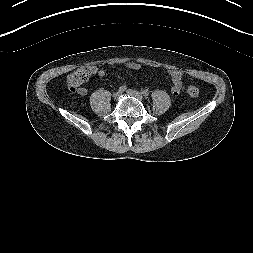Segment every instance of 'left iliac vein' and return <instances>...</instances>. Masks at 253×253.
Here are the masks:
<instances>
[{
    "label": "left iliac vein",
    "mask_w": 253,
    "mask_h": 253,
    "mask_svg": "<svg viewBox=\"0 0 253 253\" xmlns=\"http://www.w3.org/2000/svg\"><path fill=\"white\" fill-rule=\"evenodd\" d=\"M127 93L138 98L139 100H142L143 99V96L140 92L136 91V90H132V89H129L127 90Z\"/></svg>",
    "instance_id": "obj_1"
}]
</instances>
